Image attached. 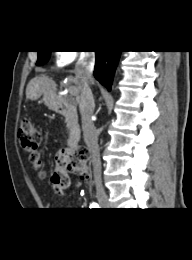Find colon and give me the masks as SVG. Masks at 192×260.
I'll use <instances>...</instances> for the list:
<instances>
[{
    "label": "colon",
    "instance_id": "obj_1",
    "mask_svg": "<svg viewBox=\"0 0 192 260\" xmlns=\"http://www.w3.org/2000/svg\"><path fill=\"white\" fill-rule=\"evenodd\" d=\"M18 140L24 151L29 154L31 163L39 167L42 163L40 133L30 119H23L18 129ZM89 152L86 148H79L74 152L61 153L55 161V168L51 176V183L55 190L63 192L71 185V174L75 173L81 180H89L88 166Z\"/></svg>",
    "mask_w": 192,
    "mask_h": 260
}]
</instances>
